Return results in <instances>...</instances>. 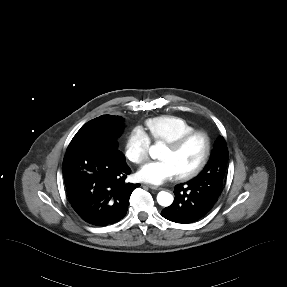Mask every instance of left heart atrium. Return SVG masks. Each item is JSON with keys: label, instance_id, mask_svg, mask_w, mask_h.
Masks as SVG:
<instances>
[{"label": "left heart atrium", "instance_id": "left-heart-atrium-1", "mask_svg": "<svg viewBox=\"0 0 287 287\" xmlns=\"http://www.w3.org/2000/svg\"><path fill=\"white\" fill-rule=\"evenodd\" d=\"M177 175L171 162L165 160L148 162L136 173L139 181L152 185H160Z\"/></svg>", "mask_w": 287, "mask_h": 287}]
</instances>
